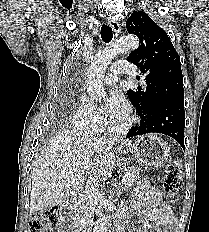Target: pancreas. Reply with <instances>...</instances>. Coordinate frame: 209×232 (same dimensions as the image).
<instances>
[{
	"instance_id": "1",
	"label": "pancreas",
	"mask_w": 209,
	"mask_h": 232,
	"mask_svg": "<svg viewBox=\"0 0 209 232\" xmlns=\"http://www.w3.org/2000/svg\"><path fill=\"white\" fill-rule=\"evenodd\" d=\"M125 176L127 177L126 186L128 188H132L136 185V182L139 180L140 177V169L139 168H129L125 172Z\"/></svg>"
}]
</instances>
